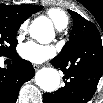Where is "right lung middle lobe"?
Listing matches in <instances>:
<instances>
[{"instance_id":"right-lung-middle-lobe-1","label":"right lung middle lobe","mask_w":103,"mask_h":103,"mask_svg":"<svg viewBox=\"0 0 103 103\" xmlns=\"http://www.w3.org/2000/svg\"><path fill=\"white\" fill-rule=\"evenodd\" d=\"M22 23L0 13V56H10L16 53L17 30Z\"/></svg>"}]
</instances>
